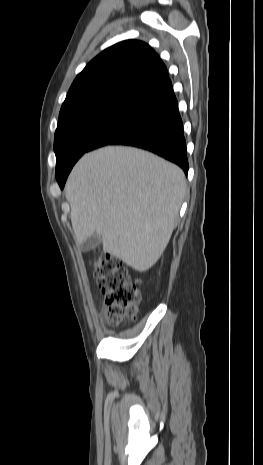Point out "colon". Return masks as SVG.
I'll return each mask as SVG.
<instances>
[{
    "instance_id": "1",
    "label": "colon",
    "mask_w": 263,
    "mask_h": 465,
    "mask_svg": "<svg viewBox=\"0 0 263 465\" xmlns=\"http://www.w3.org/2000/svg\"><path fill=\"white\" fill-rule=\"evenodd\" d=\"M94 275L105 296L107 321L117 325L127 317H134L140 296L122 262L109 255H101L94 262Z\"/></svg>"
}]
</instances>
